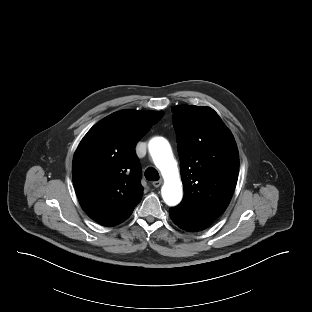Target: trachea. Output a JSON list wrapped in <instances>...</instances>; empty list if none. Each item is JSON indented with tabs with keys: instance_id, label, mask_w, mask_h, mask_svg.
Wrapping results in <instances>:
<instances>
[{
	"instance_id": "1",
	"label": "trachea",
	"mask_w": 312,
	"mask_h": 312,
	"mask_svg": "<svg viewBox=\"0 0 312 312\" xmlns=\"http://www.w3.org/2000/svg\"><path fill=\"white\" fill-rule=\"evenodd\" d=\"M145 177L149 181H157L159 180V173L155 168L149 167L145 170Z\"/></svg>"
}]
</instances>
